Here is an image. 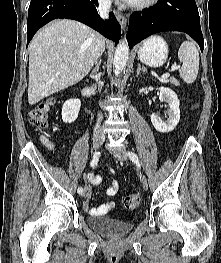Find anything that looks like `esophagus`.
I'll list each match as a JSON object with an SVG mask.
<instances>
[{"mask_svg":"<svg viewBox=\"0 0 221 263\" xmlns=\"http://www.w3.org/2000/svg\"><path fill=\"white\" fill-rule=\"evenodd\" d=\"M116 18H117L122 30H124L126 27V24H127V18L123 14H121L120 12H116Z\"/></svg>","mask_w":221,"mask_h":263,"instance_id":"esophagus-1","label":"esophagus"}]
</instances>
